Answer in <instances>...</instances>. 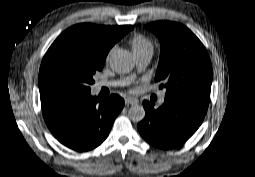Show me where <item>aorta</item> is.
<instances>
[{"label":"aorta","mask_w":255,"mask_h":177,"mask_svg":"<svg viewBox=\"0 0 255 177\" xmlns=\"http://www.w3.org/2000/svg\"><path fill=\"white\" fill-rule=\"evenodd\" d=\"M110 66L116 73H128L134 67L133 56L127 50H115L110 55ZM128 116L133 122H140L145 117V109L142 105L134 104L129 108Z\"/></svg>","instance_id":"762f6f07"}]
</instances>
